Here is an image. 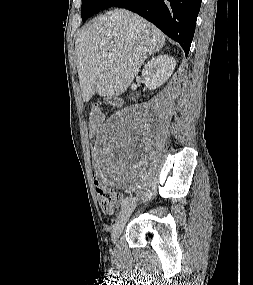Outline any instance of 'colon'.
Segmentation results:
<instances>
[{
    "label": "colon",
    "instance_id": "obj_1",
    "mask_svg": "<svg viewBox=\"0 0 253 285\" xmlns=\"http://www.w3.org/2000/svg\"><path fill=\"white\" fill-rule=\"evenodd\" d=\"M102 122V116L97 108H94L89 117V168L93 172L94 176L98 175L99 168L97 167V153L96 148L98 145V127ZM95 190L98 196L99 204L101 209L105 213H113L119 204L120 196L117 191L105 186L100 181H95Z\"/></svg>",
    "mask_w": 253,
    "mask_h": 285
}]
</instances>
